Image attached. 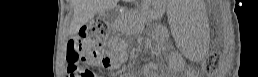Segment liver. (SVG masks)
<instances>
[{
  "mask_svg": "<svg viewBox=\"0 0 258 77\" xmlns=\"http://www.w3.org/2000/svg\"><path fill=\"white\" fill-rule=\"evenodd\" d=\"M117 1L118 0H73V33H77L96 13L114 7Z\"/></svg>",
  "mask_w": 258,
  "mask_h": 77,
  "instance_id": "liver-1",
  "label": "liver"
}]
</instances>
